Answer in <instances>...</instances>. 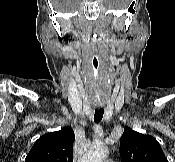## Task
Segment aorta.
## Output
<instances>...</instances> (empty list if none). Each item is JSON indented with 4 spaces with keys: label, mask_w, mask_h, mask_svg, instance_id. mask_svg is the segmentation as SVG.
I'll use <instances>...</instances> for the list:
<instances>
[{
    "label": "aorta",
    "mask_w": 175,
    "mask_h": 162,
    "mask_svg": "<svg viewBox=\"0 0 175 162\" xmlns=\"http://www.w3.org/2000/svg\"><path fill=\"white\" fill-rule=\"evenodd\" d=\"M108 154V148L100 142L93 143L79 162H103Z\"/></svg>",
    "instance_id": "obj_1"
}]
</instances>
